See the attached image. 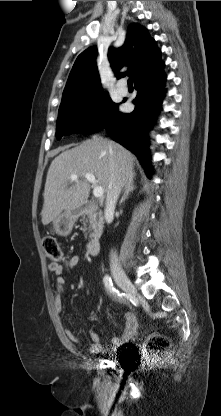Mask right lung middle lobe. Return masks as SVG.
Returning a JSON list of instances; mask_svg holds the SVG:
<instances>
[{"label": "right lung middle lobe", "mask_w": 221, "mask_h": 416, "mask_svg": "<svg viewBox=\"0 0 221 416\" xmlns=\"http://www.w3.org/2000/svg\"><path fill=\"white\" fill-rule=\"evenodd\" d=\"M117 109L109 96L100 93L91 97L61 103L57 119L56 136L71 133L91 134L98 132L107 124L111 114ZM101 112L99 118L92 114Z\"/></svg>", "instance_id": "1"}]
</instances>
